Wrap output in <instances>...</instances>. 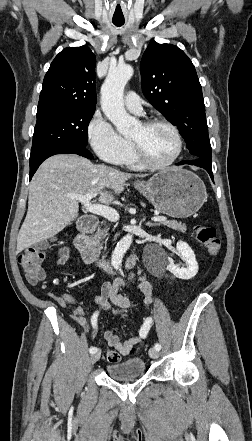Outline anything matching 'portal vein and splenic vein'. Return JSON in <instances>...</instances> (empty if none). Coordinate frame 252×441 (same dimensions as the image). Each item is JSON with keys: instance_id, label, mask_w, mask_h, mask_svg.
<instances>
[{"instance_id": "portal-vein-and-splenic-vein-1", "label": "portal vein and splenic vein", "mask_w": 252, "mask_h": 441, "mask_svg": "<svg viewBox=\"0 0 252 441\" xmlns=\"http://www.w3.org/2000/svg\"><path fill=\"white\" fill-rule=\"evenodd\" d=\"M96 193H89L87 195L81 196V195H69L71 199H75L83 203L84 208L93 214L102 216L106 219H108L111 222H117L119 220V214L116 210L109 208L107 206H103L100 204H92L91 199L95 197ZM151 220L156 222H164L167 220L165 216H156L151 218Z\"/></svg>"}]
</instances>
